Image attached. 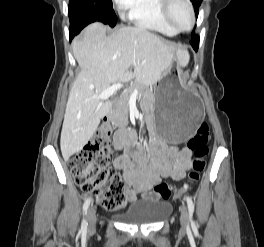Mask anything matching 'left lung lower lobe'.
Here are the masks:
<instances>
[{
	"label": "left lung lower lobe",
	"mask_w": 264,
	"mask_h": 247,
	"mask_svg": "<svg viewBox=\"0 0 264 247\" xmlns=\"http://www.w3.org/2000/svg\"><path fill=\"white\" fill-rule=\"evenodd\" d=\"M191 44H192L193 48L197 51L198 46H199V37H196V38L192 37Z\"/></svg>",
	"instance_id": "obj_1"
}]
</instances>
